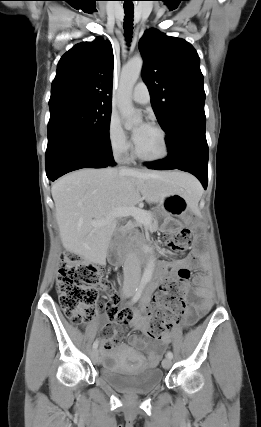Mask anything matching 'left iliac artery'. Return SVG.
I'll list each match as a JSON object with an SVG mask.
<instances>
[{"mask_svg": "<svg viewBox=\"0 0 261 427\" xmlns=\"http://www.w3.org/2000/svg\"><path fill=\"white\" fill-rule=\"evenodd\" d=\"M166 356L168 358L172 359L173 358V353L171 351H168Z\"/></svg>", "mask_w": 261, "mask_h": 427, "instance_id": "obj_1", "label": "left iliac artery"}]
</instances>
